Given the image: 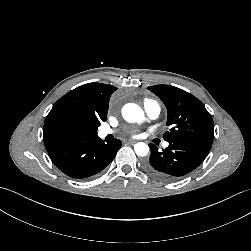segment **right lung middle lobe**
Returning <instances> with one entry per match:
<instances>
[{
    "label": "right lung middle lobe",
    "instance_id": "1",
    "mask_svg": "<svg viewBox=\"0 0 251 251\" xmlns=\"http://www.w3.org/2000/svg\"><path fill=\"white\" fill-rule=\"evenodd\" d=\"M98 126L77 114L60 112L51 118L48 134L54 141L81 139L96 136Z\"/></svg>",
    "mask_w": 251,
    "mask_h": 251
}]
</instances>
